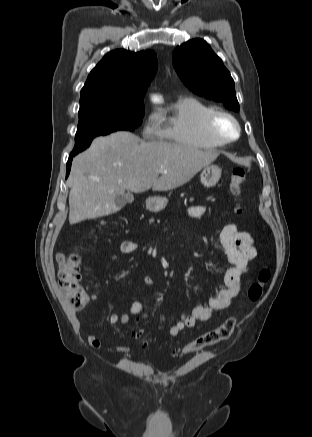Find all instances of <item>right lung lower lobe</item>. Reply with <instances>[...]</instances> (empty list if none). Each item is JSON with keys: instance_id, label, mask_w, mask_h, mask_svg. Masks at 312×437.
Returning a JSON list of instances; mask_svg holds the SVG:
<instances>
[{"instance_id": "obj_1", "label": "right lung lower lobe", "mask_w": 312, "mask_h": 437, "mask_svg": "<svg viewBox=\"0 0 312 437\" xmlns=\"http://www.w3.org/2000/svg\"><path fill=\"white\" fill-rule=\"evenodd\" d=\"M75 156V155H74ZM74 156H70L67 162V172H66V178L68 177L69 173H70V168H71V162Z\"/></svg>"}]
</instances>
